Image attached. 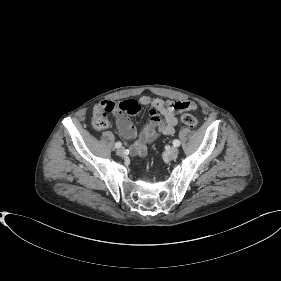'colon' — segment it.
Here are the masks:
<instances>
[{
	"mask_svg": "<svg viewBox=\"0 0 281 281\" xmlns=\"http://www.w3.org/2000/svg\"><path fill=\"white\" fill-rule=\"evenodd\" d=\"M185 108H191L192 105L190 102H187L183 105ZM128 109L130 112H134L136 110H140V107H138L135 103H130L128 105ZM115 110V106L109 105L106 108H104L101 111H98L94 114L92 118V125L97 130H103L108 127L109 122L107 119L108 113H113ZM181 122L187 126L190 129H195L197 126V120L196 118L191 114H184L181 116Z\"/></svg>",
	"mask_w": 281,
	"mask_h": 281,
	"instance_id": "obj_1",
	"label": "colon"
}]
</instances>
